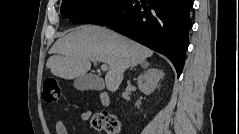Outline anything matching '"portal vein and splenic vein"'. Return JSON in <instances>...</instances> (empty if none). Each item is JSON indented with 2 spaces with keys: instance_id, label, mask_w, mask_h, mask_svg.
Instances as JSON below:
<instances>
[{
  "instance_id": "18ae733b",
  "label": "portal vein and splenic vein",
  "mask_w": 239,
  "mask_h": 134,
  "mask_svg": "<svg viewBox=\"0 0 239 134\" xmlns=\"http://www.w3.org/2000/svg\"><path fill=\"white\" fill-rule=\"evenodd\" d=\"M101 69H102L103 71H107V70H108V65H107L106 63H103V64L101 65Z\"/></svg>"
}]
</instances>
